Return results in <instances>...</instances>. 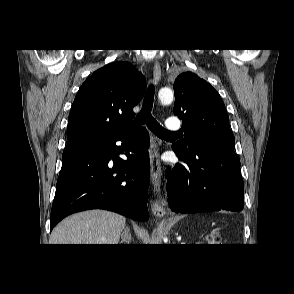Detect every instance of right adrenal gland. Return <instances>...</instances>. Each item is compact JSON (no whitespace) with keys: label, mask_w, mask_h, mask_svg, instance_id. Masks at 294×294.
Masks as SVG:
<instances>
[{"label":"right adrenal gland","mask_w":294,"mask_h":294,"mask_svg":"<svg viewBox=\"0 0 294 294\" xmlns=\"http://www.w3.org/2000/svg\"><path fill=\"white\" fill-rule=\"evenodd\" d=\"M132 240L130 229L128 226L125 227L124 232L121 234L120 244L126 243L129 244Z\"/></svg>","instance_id":"right-adrenal-gland-1"}]
</instances>
